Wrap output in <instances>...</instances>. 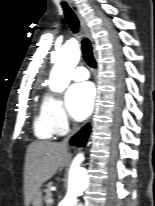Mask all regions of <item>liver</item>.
<instances>
[{
  "label": "liver",
  "mask_w": 155,
  "mask_h": 206,
  "mask_svg": "<svg viewBox=\"0 0 155 206\" xmlns=\"http://www.w3.org/2000/svg\"><path fill=\"white\" fill-rule=\"evenodd\" d=\"M67 147L59 142L35 141L27 148L24 168V203L29 206L43 183L67 164Z\"/></svg>",
  "instance_id": "liver-1"
}]
</instances>
